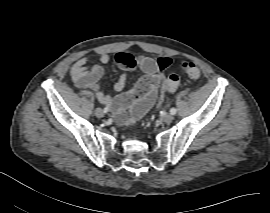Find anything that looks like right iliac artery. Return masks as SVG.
I'll return each mask as SVG.
<instances>
[{
  "label": "right iliac artery",
  "instance_id": "obj_1",
  "mask_svg": "<svg viewBox=\"0 0 270 213\" xmlns=\"http://www.w3.org/2000/svg\"><path fill=\"white\" fill-rule=\"evenodd\" d=\"M104 112H105V113L109 112V108H108V107H105V108H104Z\"/></svg>",
  "mask_w": 270,
  "mask_h": 213
}]
</instances>
